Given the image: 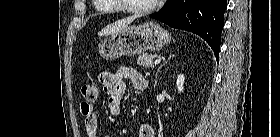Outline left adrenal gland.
<instances>
[{"label":"left adrenal gland","mask_w":280,"mask_h":137,"mask_svg":"<svg viewBox=\"0 0 280 137\" xmlns=\"http://www.w3.org/2000/svg\"><path fill=\"white\" fill-rule=\"evenodd\" d=\"M173 56H174V55H173V53L171 52V53L169 54L168 59H167L162 65H160L159 68L157 69V72H156V75H155V77H156V79H155V85H156V83H157V75H158V73H159L161 67H163V66L171 59V57H173Z\"/></svg>","instance_id":"a2214340"}]
</instances>
